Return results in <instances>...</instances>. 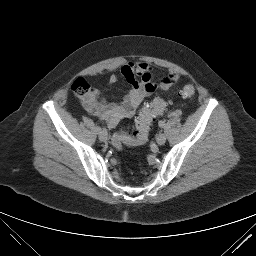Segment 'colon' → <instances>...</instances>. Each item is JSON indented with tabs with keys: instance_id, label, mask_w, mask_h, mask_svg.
I'll list each match as a JSON object with an SVG mask.
<instances>
[{
	"instance_id": "1",
	"label": "colon",
	"mask_w": 256,
	"mask_h": 256,
	"mask_svg": "<svg viewBox=\"0 0 256 256\" xmlns=\"http://www.w3.org/2000/svg\"><path fill=\"white\" fill-rule=\"evenodd\" d=\"M71 89L78 98L88 102L92 89L84 79L79 78L75 80L71 86ZM179 94L184 98H190L194 96L195 88L189 84L185 85L182 87ZM166 106L167 102L160 97L154 98L152 101L148 102L143 107L137 118L136 130L131 133L124 131L115 133L112 137L113 146L120 150L123 143L132 145H140L145 143L148 139L152 122L163 113ZM88 109L92 113H96V109L91 103H88Z\"/></svg>"
}]
</instances>
